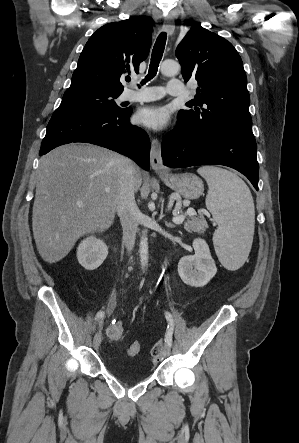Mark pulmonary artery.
<instances>
[{"mask_svg":"<svg viewBox=\"0 0 299 443\" xmlns=\"http://www.w3.org/2000/svg\"><path fill=\"white\" fill-rule=\"evenodd\" d=\"M137 82V81H135ZM165 93L172 96H179L184 93V86L178 79H170L166 90L161 87L142 86L140 91L128 90L123 94L124 100L132 102H147L160 99Z\"/></svg>","mask_w":299,"mask_h":443,"instance_id":"obj_1","label":"pulmonary artery"}]
</instances>
